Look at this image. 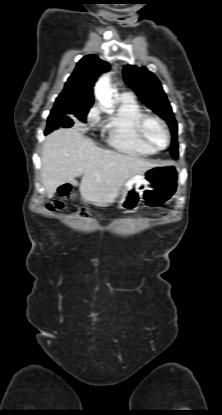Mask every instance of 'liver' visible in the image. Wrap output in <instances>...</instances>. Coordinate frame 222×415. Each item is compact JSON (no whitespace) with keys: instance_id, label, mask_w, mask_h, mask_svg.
<instances>
[{"instance_id":"1","label":"liver","mask_w":222,"mask_h":415,"mask_svg":"<svg viewBox=\"0 0 222 415\" xmlns=\"http://www.w3.org/2000/svg\"><path fill=\"white\" fill-rule=\"evenodd\" d=\"M41 162L42 183L48 198L65 183L76 186L75 178L83 175L79 187L82 200L97 206L113 203L132 176L172 163H155L136 154L101 149L72 128H60L46 137Z\"/></svg>"}]
</instances>
